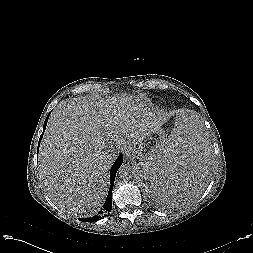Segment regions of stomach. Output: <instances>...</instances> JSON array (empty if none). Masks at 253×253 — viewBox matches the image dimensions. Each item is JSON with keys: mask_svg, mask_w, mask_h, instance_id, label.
I'll list each match as a JSON object with an SVG mask.
<instances>
[{"mask_svg": "<svg viewBox=\"0 0 253 253\" xmlns=\"http://www.w3.org/2000/svg\"><path fill=\"white\" fill-rule=\"evenodd\" d=\"M165 133L162 129H158L156 131L151 132L143 142L138 144V149L136 151V158L140 160L138 164V181H139V173L142 168V166L149 160H151L156 153L157 149L159 148V145L161 141L165 138ZM153 143L151 146V150L148 151L146 154L142 153V149L145 146H150V144ZM140 183V182H139Z\"/></svg>", "mask_w": 253, "mask_h": 253, "instance_id": "stomach-1", "label": "stomach"}]
</instances>
